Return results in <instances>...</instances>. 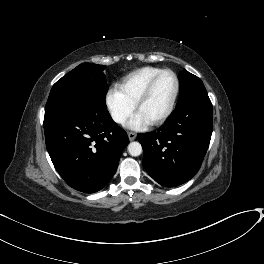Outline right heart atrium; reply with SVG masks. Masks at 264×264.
Segmentation results:
<instances>
[{
    "label": "right heart atrium",
    "mask_w": 264,
    "mask_h": 264,
    "mask_svg": "<svg viewBox=\"0 0 264 264\" xmlns=\"http://www.w3.org/2000/svg\"><path fill=\"white\" fill-rule=\"evenodd\" d=\"M106 104L112 119L118 124H124L135 110V104L117 87L109 89Z\"/></svg>",
    "instance_id": "d8ad5b80"
}]
</instances>
